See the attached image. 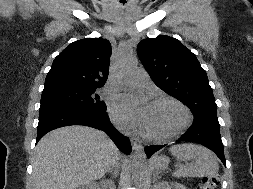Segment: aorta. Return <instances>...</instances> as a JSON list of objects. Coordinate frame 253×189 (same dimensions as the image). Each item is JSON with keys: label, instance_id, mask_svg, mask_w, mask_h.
Listing matches in <instances>:
<instances>
[{"label": "aorta", "instance_id": "762f6f07", "mask_svg": "<svg viewBox=\"0 0 253 189\" xmlns=\"http://www.w3.org/2000/svg\"><path fill=\"white\" fill-rule=\"evenodd\" d=\"M137 60L132 55L126 53L120 58L117 70L119 74H125L136 68ZM132 171L136 178H143L147 173L146 154L143 148L136 150L132 160Z\"/></svg>", "mask_w": 253, "mask_h": 189}]
</instances>
